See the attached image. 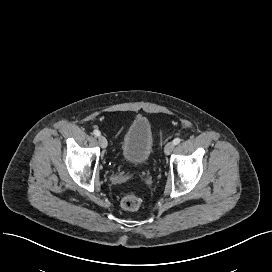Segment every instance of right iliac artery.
<instances>
[{
  "label": "right iliac artery",
  "instance_id": "82829eb1",
  "mask_svg": "<svg viewBox=\"0 0 272 272\" xmlns=\"http://www.w3.org/2000/svg\"><path fill=\"white\" fill-rule=\"evenodd\" d=\"M93 133L95 136H100V134H101L99 130H94Z\"/></svg>",
  "mask_w": 272,
  "mask_h": 272
}]
</instances>
